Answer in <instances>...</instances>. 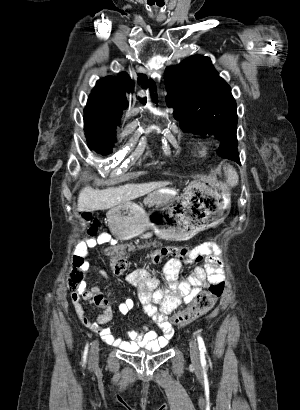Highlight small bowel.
I'll use <instances>...</instances> for the list:
<instances>
[{"label": "small bowel", "mask_w": 300, "mask_h": 410, "mask_svg": "<svg viewBox=\"0 0 300 410\" xmlns=\"http://www.w3.org/2000/svg\"><path fill=\"white\" fill-rule=\"evenodd\" d=\"M108 239L107 235L102 234L96 239L80 242L75 247L76 254L79 257H85L90 249L101 245ZM193 250L206 257L201 265L194 267L184 278L180 277V268L183 263H189L191 260L182 262L175 258L169 259L163 267L164 285L142 267L126 275V281L137 290L142 308L152 321V325L146 327L144 331L133 330L125 338L115 336L112 330L106 327L114 316L111 292L107 290V297H105L96 285L86 289L83 284L79 291L72 292L71 299L78 318L84 326L99 333L107 344L124 351L134 352L140 348L155 351L166 346L174 335V327L169 320L170 315L180 309L183 304L192 301L194 296L209 282L222 280L218 246L215 243H201ZM80 266L88 269L91 263L89 260H82ZM97 272L107 277L104 269L100 268ZM84 303L94 305L101 310L96 320L87 315ZM134 307V300L126 299L118 305V312L126 315Z\"/></svg>", "instance_id": "obj_1"}]
</instances>
